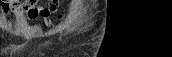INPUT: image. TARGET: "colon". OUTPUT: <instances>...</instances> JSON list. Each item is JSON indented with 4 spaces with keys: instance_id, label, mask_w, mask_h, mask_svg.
<instances>
[{
    "instance_id": "colon-1",
    "label": "colon",
    "mask_w": 172,
    "mask_h": 57,
    "mask_svg": "<svg viewBox=\"0 0 172 57\" xmlns=\"http://www.w3.org/2000/svg\"><path fill=\"white\" fill-rule=\"evenodd\" d=\"M26 10H28L27 12H28V14H36V13H38L40 10H38L37 8H29V9H26ZM48 10H53L52 8H49V9H45L44 11H48Z\"/></svg>"
}]
</instances>
